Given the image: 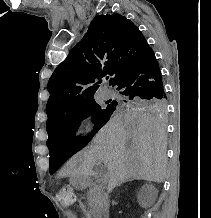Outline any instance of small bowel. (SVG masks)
<instances>
[{
	"mask_svg": "<svg viewBox=\"0 0 211 218\" xmlns=\"http://www.w3.org/2000/svg\"><path fill=\"white\" fill-rule=\"evenodd\" d=\"M80 207H81L82 209H84V207H83L82 205H80Z\"/></svg>",
	"mask_w": 211,
	"mask_h": 218,
	"instance_id": "small-bowel-1",
	"label": "small bowel"
}]
</instances>
